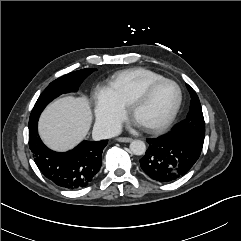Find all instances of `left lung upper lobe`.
Returning a JSON list of instances; mask_svg holds the SVG:
<instances>
[{
  "instance_id": "left-lung-upper-lobe-1",
  "label": "left lung upper lobe",
  "mask_w": 241,
  "mask_h": 241,
  "mask_svg": "<svg viewBox=\"0 0 241 241\" xmlns=\"http://www.w3.org/2000/svg\"><path fill=\"white\" fill-rule=\"evenodd\" d=\"M187 88L191 95L190 111L187 118L176 126L171 133L187 137L194 146L202 150L205 137V122L202 108L195 91L188 84Z\"/></svg>"
}]
</instances>
